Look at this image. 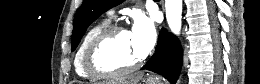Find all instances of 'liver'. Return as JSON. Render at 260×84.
I'll return each instance as SVG.
<instances>
[{"label": "liver", "mask_w": 260, "mask_h": 84, "mask_svg": "<svg viewBox=\"0 0 260 84\" xmlns=\"http://www.w3.org/2000/svg\"><path fill=\"white\" fill-rule=\"evenodd\" d=\"M142 74H138L135 76H128V77H124L120 80H118L119 84H137L139 82V80L142 78ZM116 81H108V82H103L101 84H116Z\"/></svg>", "instance_id": "6515ba94"}]
</instances>
